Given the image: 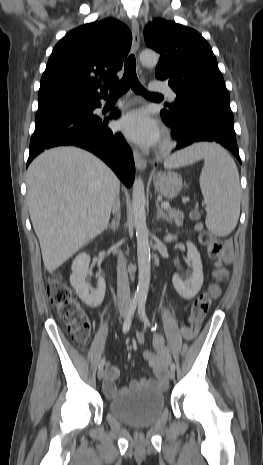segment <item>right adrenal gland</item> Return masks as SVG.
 <instances>
[{
    "label": "right adrenal gland",
    "instance_id": "right-adrenal-gland-1",
    "mask_svg": "<svg viewBox=\"0 0 263 465\" xmlns=\"http://www.w3.org/2000/svg\"><path fill=\"white\" fill-rule=\"evenodd\" d=\"M119 220H120V215L118 214L117 215V218L116 219H113L111 221V223L108 225V227L112 230V231H115L118 226H119Z\"/></svg>",
    "mask_w": 263,
    "mask_h": 465
}]
</instances>
